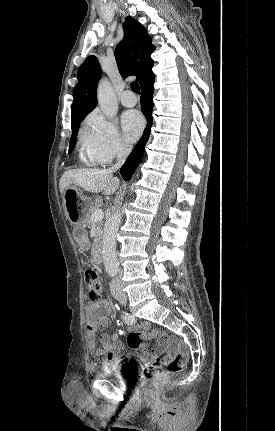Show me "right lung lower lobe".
<instances>
[{
	"mask_svg": "<svg viewBox=\"0 0 275 431\" xmlns=\"http://www.w3.org/2000/svg\"><path fill=\"white\" fill-rule=\"evenodd\" d=\"M155 78L150 81L148 84H146L144 87H142V97L140 99L141 102V110L143 114L145 115L147 119V127L146 130L141 137L140 141L134 148L133 152L130 154V156L127 158L125 164L121 167V175L122 177L128 181L132 174L134 173L136 167L139 165L143 154H144V148L145 145L149 139L151 126H152V109H153V103H152V95H153V83Z\"/></svg>",
	"mask_w": 275,
	"mask_h": 431,
	"instance_id": "1",
	"label": "right lung lower lobe"
}]
</instances>
